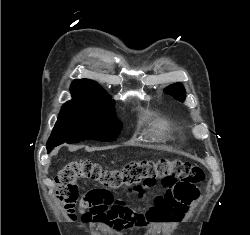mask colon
I'll use <instances>...</instances> for the list:
<instances>
[{
	"mask_svg": "<svg viewBox=\"0 0 250 235\" xmlns=\"http://www.w3.org/2000/svg\"><path fill=\"white\" fill-rule=\"evenodd\" d=\"M87 179L100 183L104 188L87 192L82 198L86 209V222L101 224L123 231L135 225L147 223L146 216L136 214L122 200L115 199L109 189L125 187L127 192L152 188L158 184L170 187L174 196L185 204L193 203L204 179L202 169L181 159L133 160L116 169L106 168L90 159L68 162L56 177V197L69 217H74L75 206L80 200L78 180Z\"/></svg>",
	"mask_w": 250,
	"mask_h": 235,
	"instance_id": "1",
	"label": "colon"
}]
</instances>
